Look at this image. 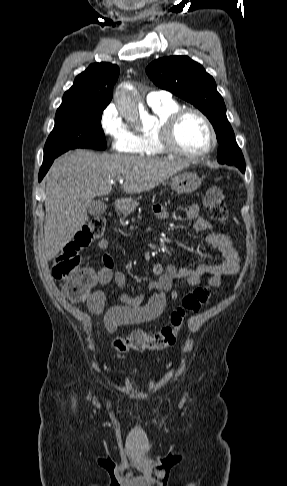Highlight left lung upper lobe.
<instances>
[{
    "label": "left lung upper lobe",
    "instance_id": "obj_1",
    "mask_svg": "<svg viewBox=\"0 0 287 486\" xmlns=\"http://www.w3.org/2000/svg\"><path fill=\"white\" fill-rule=\"evenodd\" d=\"M146 73L161 89L183 98L197 107L212 123L220 143L218 162L245 167L233 129L226 116L222 96L211 75L188 56H170L157 59L148 65Z\"/></svg>",
    "mask_w": 287,
    "mask_h": 486
}]
</instances>
